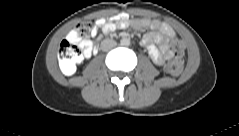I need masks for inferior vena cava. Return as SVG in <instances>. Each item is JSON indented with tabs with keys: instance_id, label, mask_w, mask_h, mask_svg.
<instances>
[{
	"instance_id": "1",
	"label": "inferior vena cava",
	"mask_w": 239,
	"mask_h": 136,
	"mask_svg": "<svg viewBox=\"0 0 239 136\" xmlns=\"http://www.w3.org/2000/svg\"><path fill=\"white\" fill-rule=\"evenodd\" d=\"M117 45L115 40L105 39L101 42V49L103 51H108L109 49L115 47Z\"/></svg>"
}]
</instances>
